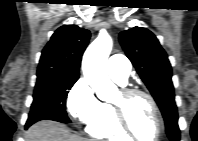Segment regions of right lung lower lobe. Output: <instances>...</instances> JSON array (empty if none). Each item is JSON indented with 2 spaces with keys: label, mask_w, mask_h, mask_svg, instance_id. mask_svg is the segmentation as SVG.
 I'll return each instance as SVG.
<instances>
[{
  "label": "right lung lower lobe",
  "mask_w": 198,
  "mask_h": 141,
  "mask_svg": "<svg viewBox=\"0 0 198 141\" xmlns=\"http://www.w3.org/2000/svg\"><path fill=\"white\" fill-rule=\"evenodd\" d=\"M29 126L25 125V128L27 129Z\"/></svg>",
  "instance_id": "98d812e1"
}]
</instances>
